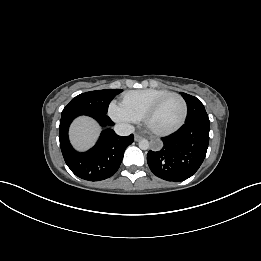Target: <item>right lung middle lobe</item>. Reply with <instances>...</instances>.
<instances>
[{"label":"right lung middle lobe","mask_w":261,"mask_h":261,"mask_svg":"<svg viewBox=\"0 0 261 261\" xmlns=\"http://www.w3.org/2000/svg\"><path fill=\"white\" fill-rule=\"evenodd\" d=\"M121 91V89H105L82 93L74 97L64 109L106 114L111 100Z\"/></svg>","instance_id":"obj_1"}]
</instances>
